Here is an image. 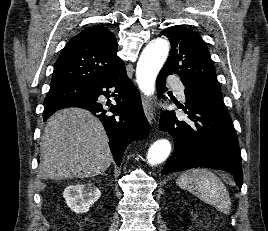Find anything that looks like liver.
I'll return each mask as SVG.
<instances>
[{"label": "liver", "mask_w": 268, "mask_h": 231, "mask_svg": "<svg viewBox=\"0 0 268 231\" xmlns=\"http://www.w3.org/2000/svg\"><path fill=\"white\" fill-rule=\"evenodd\" d=\"M41 140L43 179L91 178L105 172L113 160L101 122L81 108L53 114Z\"/></svg>", "instance_id": "liver-1"}]
</instances>
